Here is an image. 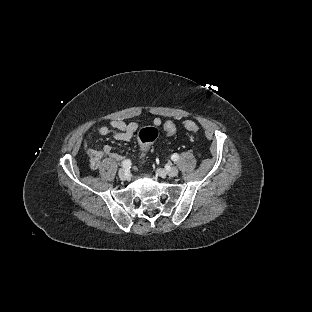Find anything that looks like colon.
I'll return each instance as SVG.
<instances>
[{
  "label": "colon",
  "instance_id": "obj_1",
  "mask_svg": "<svg viewBox=\"0 0 312 312\" xmlns=\"http://www.w3.org/2000/svg\"><path fill=\"white\" fill-rule=\"evenodd\" d=\"M164 129L166 132L172 133L175 131L176 126L174 123L168 122L165 124ZM184 129L186 132L191 133L198 131L199 126L195 122L189 121L185 124ZM157 135L158 131L153 126L142 129L139 133V142L140 145L143 146L142 148H146L147 145H150L157 138Z\"/></svg>",
  "mask_w": 312,
  "mask_h": 312
}]
</instances>
